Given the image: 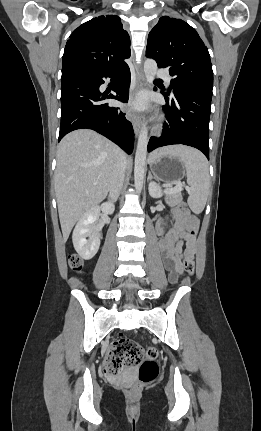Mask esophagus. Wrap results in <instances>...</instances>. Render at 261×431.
<instances>
[{"mask_svg":"<svg viewBox=\"0 0 261 431\" xmlns=\"http://www.w3.org/2000/svg\"><path fill=\"white\" fill-rule=\"evenodd\" d=\"M137 79L135 87L130 91V103L131 107L126 112L127 119L132 123L135 134L138 136L141 129V116L135 112L133 104L137 98V94L140 90H142L145 86V77L141 67L136 68Z\"/></svg>","mask_w":261,"mask_h":431,"instance_id":"esophagus-1","label":"esophagus"}]
</instances>
